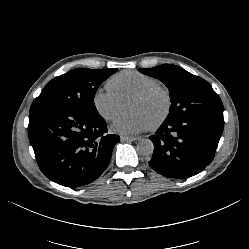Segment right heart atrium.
Wrapping results in <instances>:
<instances>
[{
	"label": "right heart atrium",
	"instance_id": "right-heart-atrium-1",
	"mask_svg": "<svg viewBox=\"0 0 249 249\" xmlns=\"http://www.w3.org/2000/svg\"><path fill=\"white\" fill-rule=\"evenodd\" d=\"M92 104L101 118L111 120L118 113L121 100L109 88L97 87L93 93Z\"/></svg>",
	"mask_w": 249,
	"mask_h": 249
}]
</instances>
